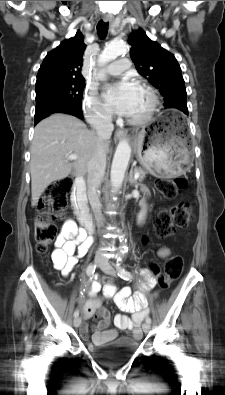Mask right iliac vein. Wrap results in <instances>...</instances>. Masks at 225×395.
I'll use <instances>...</instances> for the list:
<instances>
[{
	"instance_id": "63e3f726",
	"label": "right iliac vein",
	"mask_w": 225,
	"mask_h": 395,
	"mask_svg": "<svg viewBox=\"0 0 225 395\" xmlns=\"http://www.w3.org/2000/svg\"><path fill=\"white\" fill-rule=\"evenodd\" d=\"M103 262H104V259L101 256H97L94 259V264L96 266H101L103 264ZM80 323H81V318L75 317V319L73 321L74 327L78 328L80 326Z\"/></svg>"
}]
</instances>
